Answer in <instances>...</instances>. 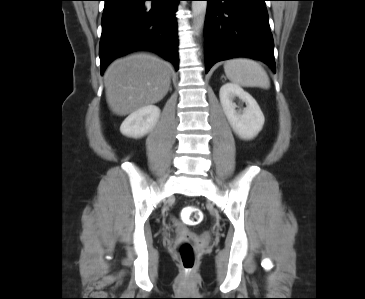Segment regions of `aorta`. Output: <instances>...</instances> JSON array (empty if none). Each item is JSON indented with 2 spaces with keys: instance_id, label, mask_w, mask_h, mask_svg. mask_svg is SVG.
Instances as JSON below:
<instances>
[{
  "instance_id": "obj_1",
  "label": "aorta",
  "mask_w": 365,
  "mask_h": 299,
  "mask_svg": "<svg viewBox=\"0 0 365 299\" xmlns=\"http://www.w3.org/2000/svg\"><path fill=\"white\" fill-rule=\"evenodd\" d=\"M207 1H192L193 23L197 32L200 31L206 14Z\"/></svg>"
}]
</instances>
